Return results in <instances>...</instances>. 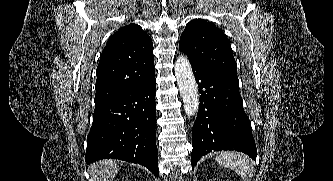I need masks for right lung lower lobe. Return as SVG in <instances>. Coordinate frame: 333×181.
<instances>
[{"label": "right lung lower lobe", "mask_w": 333, "mask_h": 181, "mask_svg": "<svg viewBox=\"0 0 333 181\" xmlns=\"http://www.w3.org/2000/svg\"><path fill=\"white\" fill-rule=\"evenodd\" d=\"M155 79L95 106L87 137V164L112 158L138 163L159 175L155 141Z\"/></svg>", "instance_id": "right-lung-lower-lobe-1"}]
</instances>
